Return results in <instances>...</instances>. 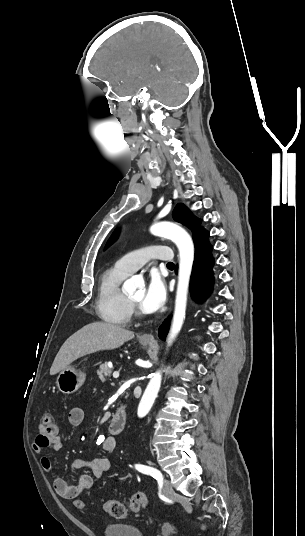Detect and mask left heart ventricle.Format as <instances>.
Masks as SVG:
<instances>
[{
  "label": "left heart ventricle",
  "instance_id": "left-heart-ventricle-1",
  "mask_svg": "<svg viewBox=\"0 0 305 536\" xmlns=\"http://www.w3.org/2000/svg\"><path fill=\"white\" fill-rule=\"evenodd\" d=\"M143 295H144V292H143V289L141 290H138L136 291L135 293L131 294L130 296H128L131 300H133L134 302L140 304L141 303V300L143 298Z\"/></svg>",
  "mask_w": 305,
  "mask_h": 536
}]
</instances>
